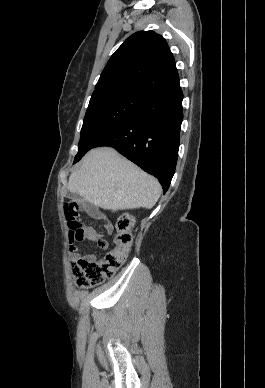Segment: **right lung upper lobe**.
<instances>
[{
    "mask_svg": "<svg viewBox=\"0 0 265 388\" xmlns=\"http://www.w3.org/2000/svg\"><path fill=\"white\" fill-rule=\"evenodd\" d=\"M178 83L175 60L165 39L153 31H140L111 56L94 93L120 91L147 98Z\"/></svg>",
    "mask_w": 265,
    "mask_h": 388,
    "instance_id": "1",
    "label": "right lung upper lobe"
}]
</instances>
